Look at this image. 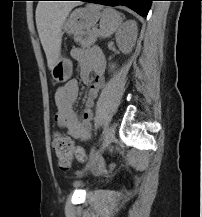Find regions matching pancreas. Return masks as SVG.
Wrapping results in <instances>:
<instances>
[{"instance_id": "cf45deb5", "label": "pancreas", "mask_w": 202, "mask_h": 217, "mask_svg": "<svg viewBox=\"0 0 202 217\" xmlns=\"http://www.w3.org/2000/svg\"><path fill=\"white\" fill-rule=\"evenodd\" d=\"M99 36V32L96 30L88 31V32H80L74 35V41L79 43L82 47H89L93 45L97 37Z\"/></svg>"}]
</instances>
